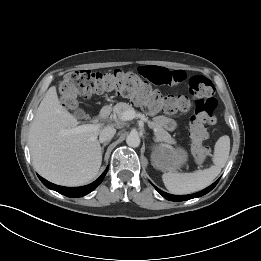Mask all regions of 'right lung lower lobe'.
<instances>
[{
    "label": "right lung lower lobe",
    "instance_id": "obj_1",
    "mask_svg": "<svg viewBox=\"0 0 261 261\" xmlns=\"http://www.w3.org/2000/svg\"><path fill=\"white\" fill-rule=\"evenodd\" d=\"M108 168H106V170L102 173V175L93 183L83 186V187H62V186H58L55 185L53 183L48 182L47 180H45L44 178L39 177V179L41 180V182L48 187L49 189L55 190L57 192H59L60 194H63L67 197H71V198H76V197H81L84 196L90 192H92L103 180V178L105 177L106 173H107Z\"/></svg>",
    "mask_w": 261,
    "mask_h": 261
}]
</instances>
